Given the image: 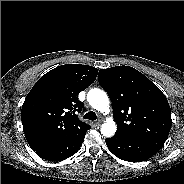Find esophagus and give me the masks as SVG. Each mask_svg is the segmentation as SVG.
<instances>
[{"label":"esophagus","mask_w":184,"mask_h":184,"mask_svg":"<svg viewBox=\"0 0 184 184\" xmlns=\"http://www.w3.org/2000/svg\"><path fill=\"white\" fill-rule=\"evenodd\" d=\"M95 124H96L97 126L101 125V120H98Z\"/></svg>","instance_id":"esophagus-1"}]
</instances>
